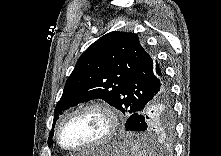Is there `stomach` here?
I'll return each mask as SVG.
<instances>
[{"label": "stomach", "mask_w": 221, "mask_h": 156, "mask_svg": "<svg viewBox=\"0 0 221 156\" xmlns=\"http://www.w3.org/2000/svg\"><path fill=\"white\" fill-rule=\"evenodd\" d=\"M89 156H131V153L125 142L114 141L102 147L91 149Z\"/></svg>", "instance_id": "0dacf381"}]
</instances>
